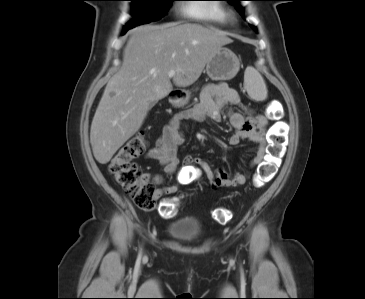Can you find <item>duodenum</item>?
Instances as JSON below:
<instances>
[{
	"mask_svg": "<svg viewBox=\"0 0 365 299\" xmlns=\"http://www.w3.org/2000/svg\"><path fill=\"white\" fill-rule=\"evenodd\" d=\"M182 95H183V93H182V92H180V91H173V92L171 93V97H172V98H180V97H182Z\"/></svg>",
	"mask_w": 365,
	"mask_h": 299,
	"instance_id": "obj_1",
	"label": "duodenum"
}]
</instances>
